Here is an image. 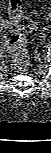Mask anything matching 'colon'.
Instances as JSON below:
<instances>
[{"label":"colon","instance_id":"1","mask_svg":"<svg viewBox=\"0 0 51 153\" xmlns=\"http://www.w3.org/2000/svg\"><path fill=\"white\" fill-rule=\"evenodd\" d=\"M9 17L11 28L5 33V45L16 70L24 71L29 65L25 33L35 29V24L23 16L21 0H10Z\"/></svg>","mask_w":51,"mask_h":153}]
</instances>
